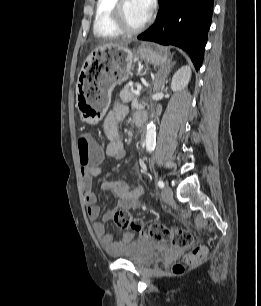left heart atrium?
I'll list each match as a JSON object with an SVG mask.
<instances>
[{
    "mask_svg": "<svg viewBox=\"0 0 261 306\" xmlns=\"http://www.w3.org/2000/svg\"><path fill=\"white\" fill-rule=\"evenodd\" d=\"M141 11L146 17H149L155 7V0H135Z\"/></svg>",
    "mask_w": 261,
    "mask_h": 306,
    "instance_id": "39dd6f15",
    "label": "left heart atrium"
}]
</instances>
